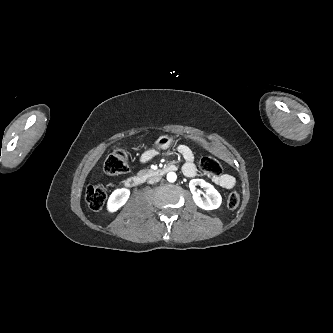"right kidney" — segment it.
<instances>
[{
    "label": "right kidney",
    "instance_id": "ca27d5eb",
    "mask_svg": "<svg viewBox=\"0 0 333 333\" xmlns=\"http://www.w3.org/2000/svg\"><path fill=\"white\" fill-rule=\"evenodd\" d=\"M129 195L130 191L126 188L116 189L113 191L108 199L107 210L109 212L117 211L127 202Z\"/></svg>",
    "mask_w": 333,
    "mask_h": 333
}]
</instances>
